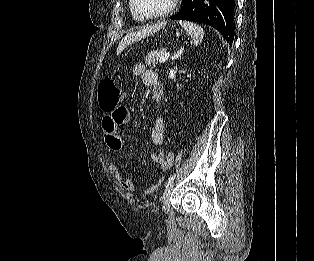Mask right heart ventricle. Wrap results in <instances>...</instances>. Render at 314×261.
Masks as SVG:
<instances>
[{
    "label": "right heart ventricle",
    "mask_w": 314,
    "mask_h": 261,
    "mask_svg": "<svg viewBox=\"0 0 314 261\" xmlns=\"http://www.w3.org/2000/svg\"><path fill=\"white\" fill-rule=\"evenodd\" d=\"M129 10H130V13L132 15V17L136 20H140L141 18L135 13V11L133 10V7H132V1L129 0Z\"/></svg>",
    "instance_id": "1"
}]
</instances>
